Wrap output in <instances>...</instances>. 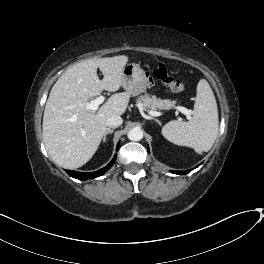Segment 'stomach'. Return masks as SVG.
<instances>
[{"instance_id":"0dacf381","label":"stomach","mask_w":264,"mask_h":264,"mask_svg":"<svg viewBox=\"0 0 264 264\" xmlns=\"http://www.w3.org/2000/svg\"><path fill=\"white\" fill-rule=\"evenodd\" d=\"M147 80L139 64L130 63L122 71V86L131 94H138Z\"/></svg>"}]
</instances>
